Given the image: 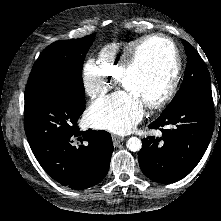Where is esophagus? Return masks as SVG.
<instances>
[{
    "label": "esophagus",
    "instance_id": "esophagus-1",
    "mask_svg": "<svg viewBox=\"0 0 221 221\" xmlns=\"http://www.w3.org/2000/svg\"><path fill=\"white\" fill-rule=\"evenodd\" d=\"M112 141L114 146H118V144L124 141V138L117 135H112Z\"/></svg>",
    "mask_w": 221,
    "mask_h": 221
}]
</instances>
